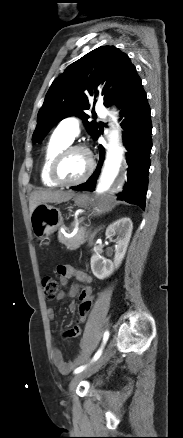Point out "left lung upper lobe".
<instances>
[{"mask_svg":"<svg viewBox=\"0 0 183 438\" xmlns=\"http://www.w3.org/2000/svg\"><path fill=\"white\" fill-rule=\"evenodd\" d=\"M136 77V68L128 55L114 46H101L87 53L52 83L39 110L32 141L40 143L57 122L72 115L83 118L88 133L95 138L98 125L95 121L88 122L83 110L89 109V99L99 94L100 82L106 81L102 95L112 86L104 96V105L108 107Z\"/></svg>","mask_w":183,"mask_h":438,"instance_id":"5c2ea615","label":"left lung upper lobe"}]
</instances>
